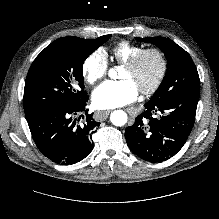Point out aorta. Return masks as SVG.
<instances>
[{"instance_id":"obj_1","label":"aorta","mask_w":219,"mask_h":219,"mask_svg":"<svg viewBox=\"0 0 219 219\" xmlns=\"http://www.w3.org/2000/svg\"><path fill=\"white\" fill-rule=\"evenodd\" d=\"M110 78H116L117 72L111 68L108 72ZM128 116L123 110H115L111 113L110 121L115 126H124L127 123Z\"/></svg>"}]
</instances>
